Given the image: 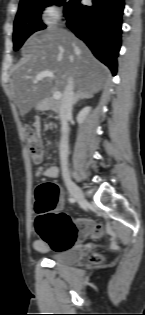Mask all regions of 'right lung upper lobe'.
Masks as SVG:
<instances>
[{"instance_id":"cb5924a9","label":"right lung upper lobe","mask_w":145,"mask_h":315,"mask_svg":"<svg viewBox=\"0 0 145 315\" xmlns=\"http://www.w3.org/2000/svg\"><path fill=\"white\" fill-rule=\"evenodd\" d=\"M27 1H30V0H21L20 3L27 2Z\"/></svg>"}]
</instances>
